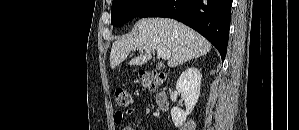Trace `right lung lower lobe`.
<instances>
[{"instance_id":"98d812e1","label":"right lung lower lobe","mask_w":299,"mask_h":130,"mask_svg":"<svg viewBox=\"0 0 299 130\" xmlns=\"http://www.w3.org/2000/svg\"><path fill=\"white\" fill-rule=\"evenodd\" d=\"M232 0H154L139 17L176 19L208 39L224 60Z\"/></svg>"}]
</instances>
